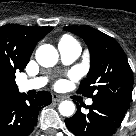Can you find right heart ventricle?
<instances>
[{"label":"right heart ventricle","mask_w":136,"mask_h":136,"mask_svg":"<svg viewBox=\"0 0 136 136\" xmlns=\"http://www.w3.org/2000/svg\"><path fill=\"white\" fill-rule=\"evenodd\" d=\"M60 42H75L70 36H64Z\"/></svg>","instance_id":"obj_1"}]
</instances>
